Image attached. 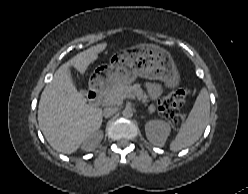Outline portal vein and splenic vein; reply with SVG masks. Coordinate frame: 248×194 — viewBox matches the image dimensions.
Returning a JSON list of instances; mask_svg holds the SVG:
<instances>
[{
  "label": "portal vein and splenic vein",
  "mask_w": 248,
  "mask_h": 194,
  "mask_svg": "<svg viewBox=\"0 0 248 194\" xmlns=\"http://www.w3.org/2000/svg\"><path fill=\"white\" fill-rule=\"evenodd\" d=\"M126 97L134 98V96L132 94H125V95H123V98H126Z\"/></svg>",
  "instance_id": "portal-vein-and-splenic-vein-1"
}]
</instances>
